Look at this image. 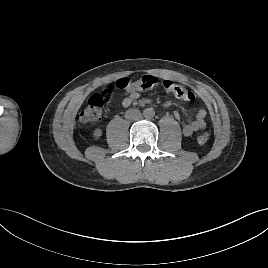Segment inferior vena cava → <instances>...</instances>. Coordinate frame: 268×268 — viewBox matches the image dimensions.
<instances>
[{"instance_id":"1","label":"inferior vena cava","mask_w":268,"mask_h":268,"mask_svg":"<svg viewBox=\"0 0 268 268\" xmlns=\"http://www.w3.org/2000/svg\"><path fill=\"white\" fill-rule=\"evenodd\" d=\"M141 117V113L135 109H129L125 113V118L128 120H138Z\"/></svg>"}]
</instances>
